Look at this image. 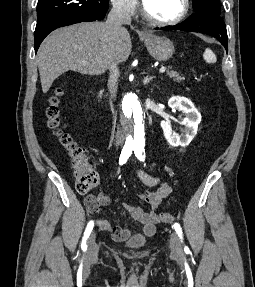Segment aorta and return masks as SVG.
<instances>
[{
  "label": "aorta",
  "mask_w": 255,
  "mask_h": 287,
  "mask_svg": "<svg viewBox=\"0 0 255 287\" xmlns=\"http://www.w3.org/2000/svg\"><path fill=\"white\" fill-rule=\"evenodd\" d=\"M126 143L131 147L145 145V114L137 96L128 93L123 99Z\"/></svg>",
  "instance_id": "aorta-1"
}]
</instances>
